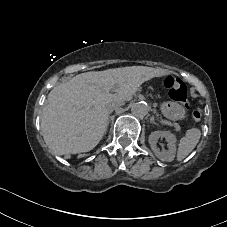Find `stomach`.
<instances>
[{
    "label": "stomach",
    "instance_id": "1",
    "mask_svg": "<svg viewBox=\"0 0 227 227\" xmlns=\"http://www.w3.org/2000/svg\"><path fill=\"white\" fill-rule=\"evenodd\" d=\"M160 109L162 114L170 120H181L185 117L184 108L177 102H164Z\"/></svg>",
    "mask_w": 227,
    "mask_h": 227
}]
</instances>
